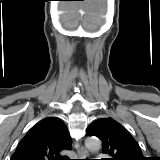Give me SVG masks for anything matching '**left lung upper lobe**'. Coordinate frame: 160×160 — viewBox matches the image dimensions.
Instances as JSON below:
<instances>
[{
	"instance_id": "obj_1",
	"label": "left lung upper lobe",
	"mask_w": 160,
	"mask_h": 160,
	"mask_svg": "<svg viewBox=\"0 0 160 160\" xmlns=\"http://www.w3.org/2000/svg\"><path fill=\"white\" fill-rule=\"evenodd\" d=\"M86 134L100 138L102 152L112 156L108 160H146L131 134L112 118L94 121Z\"/></svg>"
}]
</instances>
